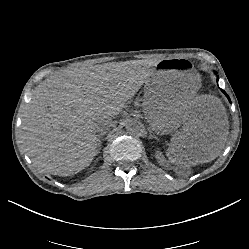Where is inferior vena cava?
Wrapping results in <instances>:
<instances>
[{
  "mask_svg": "<svg viewBox=\"0 0 249 249\" xmlns=\"http://www.w3.org/2000/svg\"><path fill=\"white\" fill-rule=\"evenodd\" d=\"M95 127L98 132H106L112 127V118L102 115L95 121Z\"/></svg>",
  "mask_w": 249,
  "mask_h": 249,
  "instance_id": "inferior-vena-cava-1",
  "label": "inferior vena cava"
}]
</instances>
